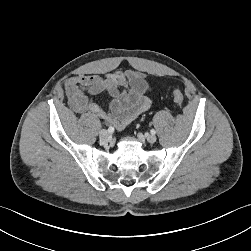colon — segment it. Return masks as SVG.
I'll use <instances>...</instances> for the list:
<instances>
[{"mask_svg": "<svg viewBox=\"0 0 251 251\" xmlns=\"http://www.w3.org/2000/svg\"><path fill=\"white\" fill-rule=\"evenodd\" d=\"M172 96H173L174 102L177 104V106L181 107L184 102V97H183L182 92L180 90L176 89L172 92Z\"/></svg>", "mask_w": 251, "mask_h": 251, "instance_id": "obj_1", "label": "colon"}]
</instances>
